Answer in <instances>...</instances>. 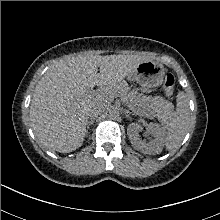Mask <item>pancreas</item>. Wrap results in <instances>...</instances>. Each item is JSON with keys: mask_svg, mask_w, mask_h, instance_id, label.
I'll return each instance as SVG.
<instances>
[{"mask_svg": "<svg viewBox=\"0 0 220 220\" xmlns=\"http://www.w3.org/2000/svg\"><path fill=\"white\" fill-rule=\"evenodd\" d=\"M127 86L125 84L122 83V85L119 87L118 91L112 92L109 91L106 94V101L111 100L117 93H120L123 96L127 95ZM153 108L156 112L157 117L162 121V122H168V120L170 121V118L172 116V109H173V105L172 103H170L169 101L163 99V98H159L158 100H154L153 101Z\"/></svg>", "mask_w": 220, "mask_h": 220, "instance_id": "cf45deb5", "label": "pancreas"}]
</instances>
